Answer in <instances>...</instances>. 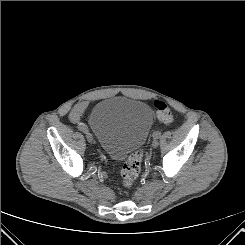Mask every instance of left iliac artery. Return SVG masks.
Here are the masks:
<instances>
[{
	"label": "left iliac artery",
	"mask_w": 245,
	"mask_h": 245,
	"mask_svg": "<svg viewBox=\"0 0 245 245\" xmlns=\"http://www.w3.org/2000/svg\"><path fill=\"white\" fill-rule=\"evenodd\" d=\"M160 136H161V132H159V131H156V132L153 133L154 139H157V138H159Z\"/></svg>",
	"instance_id": "1"
}]
</instances>
